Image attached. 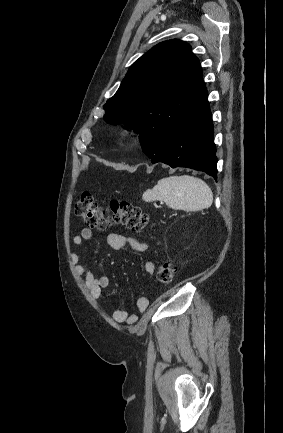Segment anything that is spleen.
Instances as JSON below:
<instances>
[{
	"label": "spleen",
	"instance_id": "spleen-1",
	"mask_svg": "<svg viewBox=\"0 0 283 433\" xmlns=\"http://www.w3.org/2000/svg\"><path fill=\"white\" fill-rule=\"evenodd\" d=\"M143 200H164L174 210H203L211 206L213 192L201 178L183 174L161 178L153 188L143 192Z\"/></svg>",
	"mask_w": 283,
	"mask_h": 433
}]
</instances>
